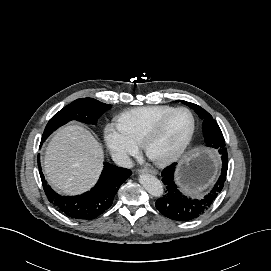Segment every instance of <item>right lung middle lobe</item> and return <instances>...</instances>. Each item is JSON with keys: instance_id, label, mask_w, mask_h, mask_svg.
Returning a JSON list of instances; mask_svg holds the SVG:
<instances>
[{"instance_id": "right-lung-middle-lobe-1", "label": "right lung middle lobe", "mask_w": 271, "mask_h": 271, "mask_svg": "<svg viewBox=\"0 0 271 271\" xmlns=\"http://www.w3.org/2000/svg\"><path fill=\"white\" fill-rule=\"evenodd\" d=\"M110 108V105L104 104L93 98H80L73 101L56 113L45 127L42 141L60 126L71 120H77L85 124H96L98 118Z\"/></svg>"}]
</instances>
